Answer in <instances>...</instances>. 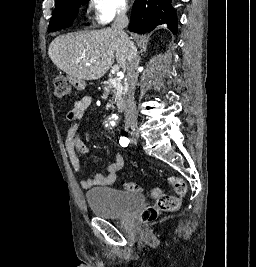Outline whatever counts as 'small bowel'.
I'll return each instance as SVG.
<instances>
[{"label": "small bowel", "mask_w": 256, "mask_h": 267, "mask_svg": "<svg viewBox=\"0 0 256 267\" xmlns=\"http://www.w3.org/2000/svg\"><path fill=\"white\" fill-rule=\"evenodd\" d=\"M90 105L91 98L89 96H83L81 99L77 100L74 103L72 109L67 113V120L72 124L68 128L65 137V149L70 164L76 173H81L83 170L80 155L89 154V150L87 149L79 135V121L84 117ZM124 164V157L118 154L115 161L108 165L107 174L97 173L91 178L82 179L81 187L85 190H88L97 186H112L115 183L117 175L123 168Z\"/></svg>", "instance_id": "small-bowel-1"}]
</instances>
